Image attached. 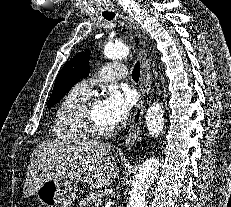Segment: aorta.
<instances>
[{"label": "aorta", "instance_id": "obj_1", "mask_svg": "<svg viewBox=\"0 0 231 207\" xmlns=\"http://www.w3.org/2000/svg\"><path fill=\"white\" fill-rule=\"evenodd\" d=\"M130 48L124 43H108L104 55L112 60L124 59L130 55ZM163 109L159 103H153L146 113V124L149 133L158 137L163 131ZM160 162L156 157L145 161L135 176L126 207H147L146 194L159 172Z\"/></svg>", "mask_w": 231, "mask_h": 207}]
</instances>
